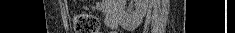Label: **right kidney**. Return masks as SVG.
<instances>
[{
  "instance_id": "ca27d5eb",
  "label": "right kidney",
  "mask_w": 235,
  "mask_h": 33,
  "mask_svg": "<svg viewBox=\"0 0 235 33\" xmlns=\"http://www.w3.org/2000/svg\"><path fill=\"white\" fill-rule=\"evenodd\" d=\"M125 0H122L124 2ZM149 0H135V10L133 11H122L120 13V22L123 23L124 20H131V18L142 20L146 14Z\"/></svg>"
}]
</instances>
